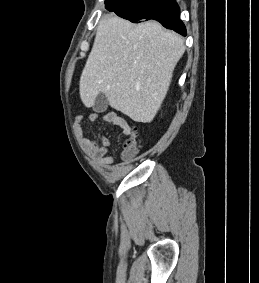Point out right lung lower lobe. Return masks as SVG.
I'll list each match as a JSON object with an SVG mask.
<instances>
[{
    "mask_svg": "<svg viewBox=\"0 0 259 283\" xmlns=\"http://www.w3.org/2000/svg\"><path fill=\"white\" fill-rule=\"evenodd\" d=\"M108 11L133 23L139 20H156L165 28L186 36L180 20V9L175 0H105Z\"/></svg>",
    "mask_w": 259,
    "mask_h": 283,
    "instance_id": "obj_1",
    "label": "right lung lower lobe"
}]
</instances>
